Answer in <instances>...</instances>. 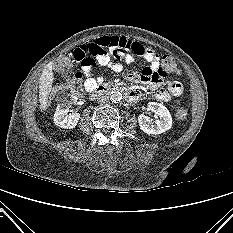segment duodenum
<instances>
[{
  "instance_id": "1",
  "label": "duodenum",
  "mask_w": 233,
  "mask_h": 233,
  "mask_svg": "<svg viewBox=\"0 0 233 233\" xmlns=\"http://www.w3.org/2000/svg\"><path fill=\"white\" fill-rule=\"evenodd\" d=\"M113 91L121 92L127 99H131L133 97V93L120 84H100V85H97L91 91L90 95L92 98H95V97H98L100 95L110 93Z\"/></svg>"
}]
</instances>
